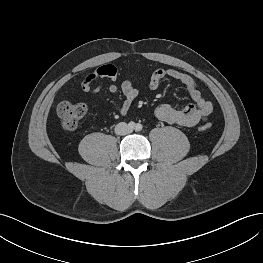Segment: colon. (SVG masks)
I'll return each instance as SVG.
<instances>
[{"mask_svg":"<svg viewBox=\"0 0 263 263\" xmlns=\"http://www.w3.org/2000/svg\"><path fill=\"white\" fill-rule=\"evenodd\" d=\"M86 112V106L80 102H71L64 100L57 107V115L61 126L65 130H74L77 128L79 121L83 118ZM209 124H204L200 127L201 131L210 129Z\"/></svg>","mask_w":263,"mask_h":263,"instance_id":"5ec220e1","label":"colon"}]
</instances>
